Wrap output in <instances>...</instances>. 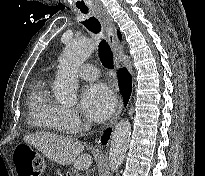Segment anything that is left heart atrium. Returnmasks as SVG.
<instances>
[{
  "instance_id": "obj_1",
  "label": "left heart atrium",
  "mask_w": 205,
  "mask_h": 176,
  "mask_svg": "<svg viewBox=\"0 0 205 176\" xmlns=\"http://www.w3.org/2000/svg\"><path fill=\"white\" fill-rule=\"evenodd\" d=\"M116 103L112 89L105 83L87 85L81 93L82 110L95 121H104L112 113Z\"/></svg>"
}]
</instances>
